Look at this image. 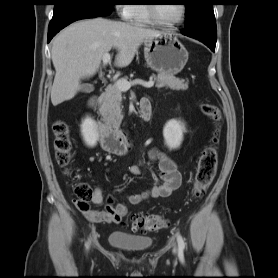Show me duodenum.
<instances>
[{"label":"duodenum","mask_w":278,"mask_h":278,"mask_svg":"<svg viewBox=\"0 0 278 278\" xmlns=\"http://www.w3.org/2000/svg\"><path fill=\"white\" fill-rule=\"evenodd\" d=\"M96 97H92L88 101L89 108L95 105ZM138 115L141 119L147 121L151 117V104L148 99H142L138 105ZM96 129L102 147L114 154L123 155L129 148V140L127 134L121 129H114L100 121L96 122Z\"/></svg>","instance_id":"duodenum-1"}]
</instances>
